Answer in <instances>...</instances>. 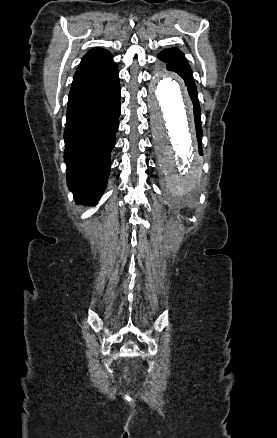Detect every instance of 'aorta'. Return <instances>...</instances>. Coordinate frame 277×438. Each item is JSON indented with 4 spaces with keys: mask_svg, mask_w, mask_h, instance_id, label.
Listing matches in <instances>:
<instances>
[{
    "mask_svg": "<svg viewBox=\"0 0 277 438\" xmlns=\"http://www.w3.org/2000/svg\"><path fill=\"white\" fill-rule=\"evenodd\" d=\"M152 128L162 169L172 194L192 192L202 173L192 106L179 83L157 68L149 85Z\"/></svg>",
    "mask_w": 277,
    "mask_h": 438,
    "instance_id": "1",
    "label": "aorta"
}]
</instances>
